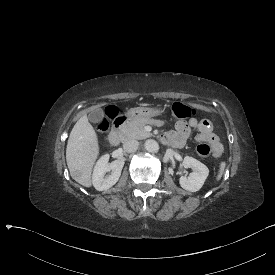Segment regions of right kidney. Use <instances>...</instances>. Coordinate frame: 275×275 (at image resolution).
I'll return each mask as SVG.
<instances>
[{
  "label": "right kidney",
  "mask_w": 275,
  "mask_h": 275,
  "mask_svg": "<svg viewBox=\"0 0 275 275\" xmlns=\"http://www.w3.org/2000/svg\"><path fill=\"white\" fill-rule=\"evenodd\" d=\"M108 160L109 156L104 155L95 168L93 184L98 191H107L113 187L121 177L124 161L116 160L108 163ZM110 171H112L111 174L106 175V173Z\"/></svg>",
  "instance_id": "1"
}]
</instances>
